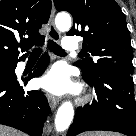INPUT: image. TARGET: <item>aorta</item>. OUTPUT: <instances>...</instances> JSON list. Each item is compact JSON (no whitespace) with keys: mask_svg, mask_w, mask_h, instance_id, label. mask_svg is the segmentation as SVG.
Wrapping results in <instances>:
<instances>
[{"mask_svg":"<svg viewBox=\"0 0 136 136\" xmlns=\"http://www.w3.org/2000/svg\"><path fill=\"white\" fill-rule=\"evenodd\" d=\"M58 30L67 31L71 27V17L67 13H59L55 18ZM74 116V108L71 102H64L57 111L55 128L57 132L65 131L71 124Z\"/></svg>","mask_w":136,"mask_h":136,"instance_id":"aorta-1","label":"aorta"}]
</instances>
